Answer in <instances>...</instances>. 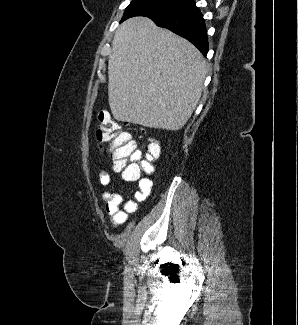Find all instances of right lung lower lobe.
<instances>
[{
    "label": "right lung lower lobe",
    "mask_w": 298,
    "mask_h": 325,
    "mask_svg": "<svg viewBox=\"0 0 298 325\" xmlns=\"http://www.w3.org/2000/svg\"><path fill=\"white\" fill-rule=\"evenodd\" d=\"M156 25L167 28L193 43L206 56L208 37L205 22L200 10L192 2L172 13L151 18Z\"/></svg>",
    "instance_id": "1"
}]
</instances>
